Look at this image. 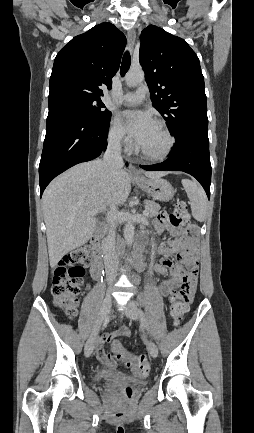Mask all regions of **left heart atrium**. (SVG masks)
Returning <instances> with one entry per match:
<instances>
[{
    "mask_svg": "<svg viewBox=\"0 0 254 433\" xmlns=\"http://www.w3.org/2000/svg\"><path fill=\"white\" fill-rule=\"evenodd\" d=\"M122 116L129 135L138 145L141 144L154 125L150 114L138 110H128L124 111Z\"/></svg>",
    "mask_w": 254,
    "mask_h": 433,
    "instance_id": "left-heart-atrium-1",
    "label": "left heart atrium"
}]
</instances>
